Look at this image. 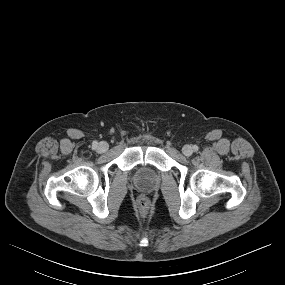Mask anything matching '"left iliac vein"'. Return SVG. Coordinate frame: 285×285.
Instances as JSON below:
<instances>
[{
	"label": "left iliac vein",
	"instance_id": "left-iliac-vein-1",
	"mask_svg": "<svg viewBox=\"0 0 285 285\" xmlns=\"http://www.w3.org/2000/svg\"><path fill=\"white\" fill-rule=\"evenodd\" d=\"M182 152L185 156H191L193 153V149L190 145H185L182 148Z\"/></svg>",
	"mask_w": 285,
	"mask_h": 285
}]
</instances>
